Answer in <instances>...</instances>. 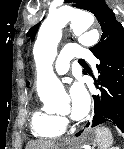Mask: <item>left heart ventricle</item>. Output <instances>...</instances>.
Wrapping results in <instances>:
<instances>
[{
	"mask_svg": "<svg viewBox=\"0 0 124 149\" xmlns=\"http://www.w3.org/2000/svg\"><path fill=\"white\" fill-rule=\"evenodd\" d=\"M69 112V107L67 108V110H66V114Z\"/></svg>",
	"mask_w": 124,
	"mask_h": 149,
	"instance_id": "obj_1",
	"label": "left heart ventricle"
}]
</instances>
